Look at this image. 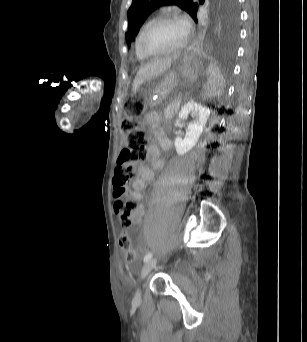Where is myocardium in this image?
<instances>
[{"label": "myocardium", "mask_w": 307, "mask_h": 342, "mask_svg": "<svg viewBox=\"0 0 307 342\" xmlns=\"http://www.w3.org/2000/svg\"><path fill=\"white\" fill-rule=\"evenodd\" d=\"M163 21H168V22H173L176 23L177 25H179L182 29L183 32V37L181 42L174 48L169 49L167 51L161 52V53H157V54H151L148 53L143 46L144 43V39L147 36V34L149 33V31L158 23L163 22ZM188 44V37H187V33L185 31L184 25L182 23V21L172 15H167V14H160L158 16L153 17L152 19H150L144 26L140 36H139V40H138V49L141 55H143L145 58L147 59H159V58H163L166 56H171L177 53H180L181 51H183L185 49V47Z\"/></svg>", "instance_id": "obj_1"}]
</instances>
